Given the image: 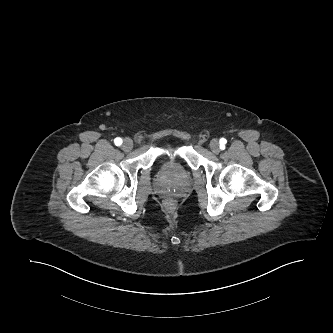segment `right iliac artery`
Instances as JSON below:
<instances>
[{
	"instance_id": "1",
	"label": "right iliac artery",
	"mask_w": 333,
	"mask_h": 333,
	"mask_svg": "<svg viewBox=\"0 0 333 333\" xmlns=\"http://www.w3.org/2000/svg\"><path fill=\"white\" fill-rule=\"evenodd\" d=\"M114 143H115V145L120 146V145L122 144V139L119 138V137H117V138L114 140Z\"/></svg>"
}]
</instances>
